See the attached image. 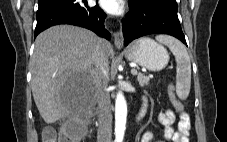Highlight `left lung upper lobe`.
I'll list each match as a JSON object with an SVG mask.
<instances>
[{
  "label": "left lung upper lobe",
  "instance_id": "5c2ea615",
  "mask_svg": "<svg viewBox=\"0 0 227 142\" xmlns=\"http://www.w3.org/2000/svg\"><path fill=\"white\" fill-rule=\"evenodd\" d=\"M148 0H131L129 3L130 4H143L145 2H147ZM162 1H165L169 4H173V5H177V2L176 0H162Z\"/></svg>",
  "mask_w": 227,
  "mask_h": 142
}]
</instances>
